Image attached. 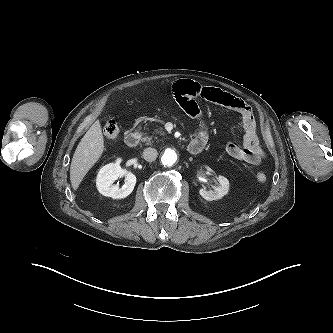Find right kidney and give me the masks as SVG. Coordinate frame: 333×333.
<instances>
[{
  "label": "right kidney",
  "instance_id": "obj_1",
  "mask_svg": "<svg viewBox=\"0 0 333 333\" xmlns=\"http://www.w3.org/2000/svg\"><path fill=\"white\" fill-rule=\"evenodd\" d=\"M121 160L118 159L116 163H110L103 166L96 179V186L104 196L111 197L113 199H122L127 197L134 189L136 184V176L122 169L120 167ZM125 175V184L122 187L118 185H112L119 177Z\"/></svg>",
  "mask_w": 333,
  "mask_h": 333
}]
</instances>
